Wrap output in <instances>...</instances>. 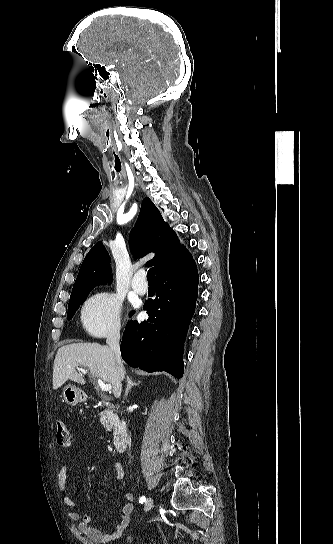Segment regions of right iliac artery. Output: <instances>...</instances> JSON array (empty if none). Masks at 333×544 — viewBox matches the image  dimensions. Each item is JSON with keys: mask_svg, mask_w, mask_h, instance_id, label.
<instances>
[{"mask_svg": "<svg viewBox=\"0 0 333 544\" xmlns=\"http://www.w3.org/2000/svg\"><path fill=\"white\" fill-rule=\"evenodd\" d=\"M146 501V498L144 496L140 497L139 502L144 503Z\"/></svg>", "mask_w": 333, "mask_h": 544, "instance_id": "obj_1", "label": "right iliac artery"}]
</instances>
